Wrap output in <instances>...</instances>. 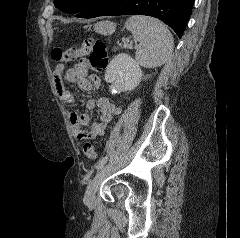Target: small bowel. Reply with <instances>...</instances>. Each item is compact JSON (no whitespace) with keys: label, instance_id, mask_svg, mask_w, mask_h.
I'll use <instances>...</instances> for the list:
<instances>
[{"label":"small bowel","instance_id":"small-bowel-1","mask_svg":"<svg viewBox=\"0 0 240 238\" xmlns=\"http://www.w3.org/2000/svg\"><path fill=\"white\" fill-rule=\"evenodd\" d=\"M88 72L89 61L86 58L80 59L71 68H66L64 64L56 66L53 74L56 91L61 101L68 107H75L76 101L73 94L67 89L65 80L69 83L78 82L80 88L85 91L100 87V78L95 74L88 76ZM95 107L99 108L101 114L99 122H91L89 115L86 113L72 111L69 114L72 133L78 142L87 137L96 138L102 136L113 117L122 112V109L107 97L88 99L86 101L85 108L87 111H91Z\"/></svg>","mask_w":240,"mask_h":238}]
</instances>
